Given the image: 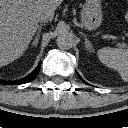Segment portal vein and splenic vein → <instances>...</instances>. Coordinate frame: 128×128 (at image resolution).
<instances>
[{"label":"portal vein and splenic vein","instance_id":"portal-vein-and-splenic-vein-1","mask_svg":"<svg viewBox=\"0 0 128 128\" xmlns=\"http://www.w3.org/2000/svg\"><path fill=\"white\" fill-rule=\"evenodd\" d=\"M121 47H128L124 42H122Z\"/></svg>","mask_w":128,"mask_h":128}]
</instances>
